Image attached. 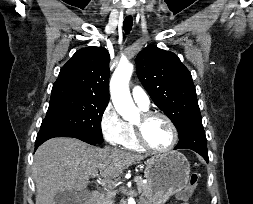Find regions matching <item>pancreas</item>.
Wrapping results in <instances>:
<instances>
[{
	"label": "pancreas",
	"instance_id": "obj_1",
	"mask_svg": "<svg viewBox=\"0 0 253 204\" xmlns=\"http://www.w3.org/2000/svg\"><path fill=\"white\" fill-rule=\"evenodd\" d=\"M137 190L139 193L145 195L147 194L151 188L146 183L142 182V178L140 177V180L137 182ZM114 186L111 187L113 189ZM117 190L106 192L105 195L101 196L100 200L98 201V204H113V197L116 195Z\"/></svg>",
	"mask_w": 253,
	"mask_h": 204
}]
</instances>
